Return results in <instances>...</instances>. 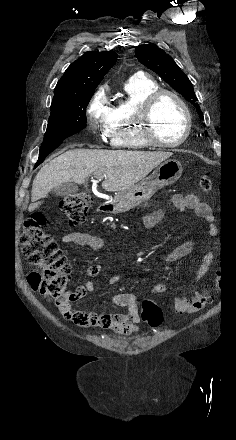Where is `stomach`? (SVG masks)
Instances as JSON below:
<instances>
[{
    "instance_id": "obj_1",
    "label": "stomach",
    "mask_w": 236,
    "mask_h": 440,
    "mask_svg": "<svg viewBox=\"0 0 236 440\" xmlns=\"http://www.w3.org/2000/svg\"><path fill=\"white\" fill-rule=\"evenodd\" d=\"M183 167L175 159L163 161L153 173L129 189L115 193L112 201L114 212H125L148 200L158 190L175 183L182 175Z\"/></svg>"
}]
</instances>
